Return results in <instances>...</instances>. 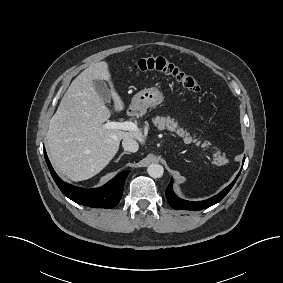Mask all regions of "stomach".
Here are the masks:
<instances>
[{"label":"stomach","mask_w":283,"mask_h":283,"mask_svg":"<svg viewBox=\"0 0 283 283\" xmlns=\"http://www.w3.org/2000/svg\"><path fill=\"white\" fill-rule=\"evenodd\" d=\"M163 99V93L158 87H150L134 95L131 107L134 111L143 114L149 107L161 104Z\"/></svg>","instance_id":"obj_1"}]
</instances>
